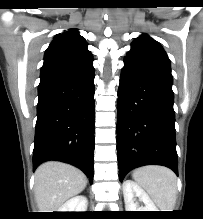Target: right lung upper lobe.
Returning <instances> with one entry per match:
<instances>
[{
	"label": "right lung upper lobe",
	"mask_w": 203,
	"mask_h": 219,
	"mask_svg": "<svg viewBox=\"0 0 203 219\" xmlns=\"http://www.w3.org/2000/svg\"><path fill=\"white\" fill-rule=\"evenodd\" d=\"M92 60L87 43L76 29L57 34L45 52L42 69L82 64Z\"/></svg>",
	"instance_id": "obj_1"
}]
</instances>
